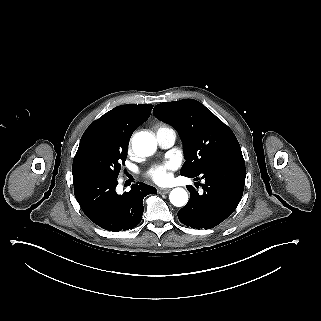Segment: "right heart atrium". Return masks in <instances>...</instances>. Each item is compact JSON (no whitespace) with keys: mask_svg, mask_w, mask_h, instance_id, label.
<instances>
[{"mask_svg":"<svg viewBox=\"0 0 321 321\" xmlns=\"http://www.w3.org/2000/svg\"><path fill=\"white\" fill-rule=\"evenodd\" d=\"M128 152H129V153L132 152V144H131V142H130L129 145H128Z\"/></svg>","mask_w":321,"mask_h":321,"instance_id":"d8ad5b80","label":"right heart atrium"}]
</instances>
